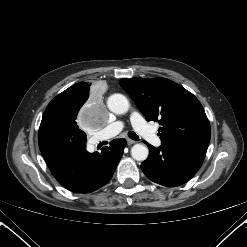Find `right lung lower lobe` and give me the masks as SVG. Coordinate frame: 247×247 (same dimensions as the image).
Instances as JSON below:
<instances>
[{"instance_id":"1","label":"right lung lower lobe","mask_w":247,"mask_h":247,"mask_svg":"<svg viewBox=\"0 0 247 247\" xmlns=\"http://www.w3.org/2000/svg\"><path fill=\"white\" fill-rule=\"evenodd\" d=\"M86 134L76 123L43 116L38 133L40 151L54 177L68 190L89 193L112 177L126 146L115 139L101 153L86 150Z\"/></svg>"}]
</instances>
